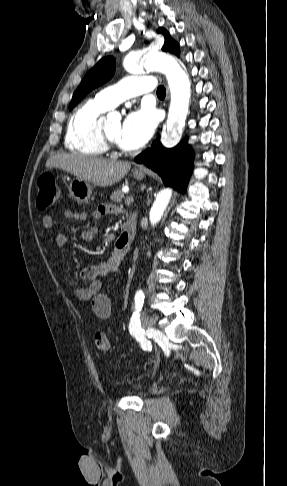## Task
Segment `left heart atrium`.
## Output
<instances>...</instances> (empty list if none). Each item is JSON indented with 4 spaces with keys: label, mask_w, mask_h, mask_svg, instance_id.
Wrapping results in <instances>:
<instances>
[{
    "label": "left heart atrium",
    "mask_w": 287,
    "mask_h": 486,
    "mask_svg": "<svg viewBox=\"0 0 287 486\" xmlns=\"http://www.w3.org/2000/svg\"><path fill=\"white\" fill-rule=\"evenodd\" d=\"M155 127L156 115L150 107L132 111L122 123L120 145L129 150L142 147L151 138Z\"/></svg>",
    "instance_id": "39dd6f15"
}]
</instances>
